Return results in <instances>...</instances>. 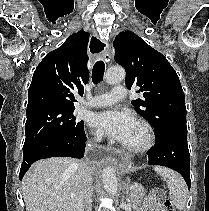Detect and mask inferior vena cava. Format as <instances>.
<instances>
[{
	"label": "inferior vena cava",
	"mask_w": 209,
	"mask_h": 211,
	"mask_svg": "<svg viewBox=\"0 0 209 211\" xmlns=\"http://www.w3.org/2000/svg\"><path fill=\"white\" fill-rule=\"evenodd\" d=\"M99 139L100 138L98 137L97 140ZM83 174H84V178L86 182V189L84 192L85 209L86 211H91V207H92L91 203H92V195H93V187H92L93 178H92L91 169L86 163L83 164Z\"/></svg>",
	"instance_id": "obj_1"
}]
</instances>
